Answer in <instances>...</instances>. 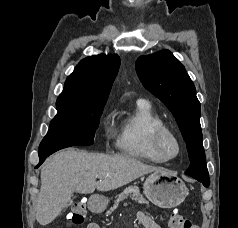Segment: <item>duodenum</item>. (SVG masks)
<instances>
[{"mask_svg": "<svg viewBox=\"0 0 238 228\" xmlns=\"http://www.w3.org/2000/svg\"><path fill=\"white\" fill-rule=\"evenodd\" d=\"M90 206L94 210L100 209V207H101V200L99 198L92 199Z\"/></svg>", "mask_w": 238, "mask_h": 228, "instance_id": "410a0bca", "label": "duodenum"}]
</instances>
